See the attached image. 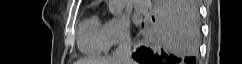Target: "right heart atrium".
<instances>
[{"label":"right heart atrium","instance_id":"obj_1","mask_svg":"<svg viewBox=\"0 0 242 64\" xmlns=\"http://www.w3.org/2000/svg\"><path fill=\"white\" fill-rule=\"evenodd\" d=\"M105 32L110 46L130 43V24L124 16L109 19L105 23Z\"/></svg>","mask_w":242,"mask_h":64}]
</instances>
